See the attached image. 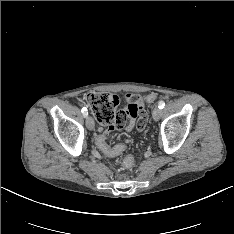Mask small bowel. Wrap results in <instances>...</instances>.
Here are the masks:
<instances>
[{
  "label": "small bowel",
  "instance_id": "obj_1",
  "mask_svg": "<svg viewBox=\"0 0 234 234\" xmlns=\"http://www.w3.org/2000/svg\"><path fill=\"white\" fill-rule=\"evenodd\" d=\"M121 111L124 113L126 118L129 119L126 130L130 132L135 128L136 132L139 135H142L150 118L149 113L145 111L143 97L132 93L127 94L126 105Z\"/></svg>",
  "mask_w": 234,
  "mask_h": 234
}]
</instances>
